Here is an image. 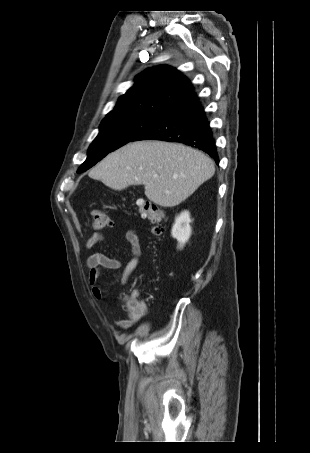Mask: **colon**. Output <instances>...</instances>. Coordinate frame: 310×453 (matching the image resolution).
<instances>
[{
  "instance_id": "5ec220e1",
  "label": "colon",
  "mask_w": 310,
  "mask_h": 453,
  "mask_svg": "<svg viewBox=\"0 0 310 453\" xmlns=\"http://www.w3.org/2000/svg\"><path fill=\"white\" fill-rule=\"evenodd\" d=\"M136 207L138 214L151 223L153 233L159 235L161 233V223L163 222L161 209L155 203L145 199H138ZM91 217L94 229L103 230L108 227L109 217L103 210L93 209ZM123 307L127 315L132 317H141L146 312V305L137 292H132L124 298Z\"/></svg>"
}]
</instances>
